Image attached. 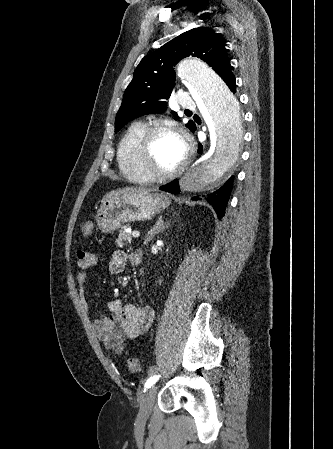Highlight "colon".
Instances as JSON below:
<instances>
[{
    "instance_id": "colon-1",
    "label": "colon",
    "mask_w": 333,
    "mask_h": 449,
    "mask_svg": "<svg viewBox=\"0 0 333 449\" xmlns=\"http://www.w3.org/2000/svg\"><path fill=\"white\" fill-rule=\"evenodd\" d=\"M93 225L91 222H86L81 228L83 237H89L92 233ZM128 369L132 373H137L140 370V363L136 358H130L128 360Z\"/></svg>"
}]
</instances>
